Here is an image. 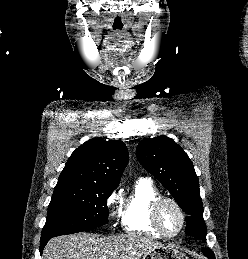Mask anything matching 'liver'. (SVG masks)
I'll use <instances>...</instances> for the list:
<instances>
[{"label": "liver", "instance_id": "liver-1", "mask_svg": "<svg viewBox=\"0 0 248 259\" xmlns=\"http://www.w3.org/2000/svg\"><path fill=\"white\" fill-rule=\"evenodd\" d=\"M161 243L136 234L97 236L78 233L52 238L42 259H140Z\"/></svg>", "mask_w": 248, "mask_h": 259}]
</instances>
